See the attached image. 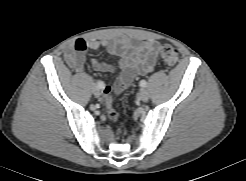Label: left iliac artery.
I'll return each mask as SVG.
<instances>
[{
	"label": "left iliac artery",
	"mask_w": 246,
	"mask_h": 181,
	"mask_svg": "<svg viewBox=\"0 0 246 181\" xmlns=\"http://www.w3.org/2000/svg\"><path fill=\"white\" fill-rule=\"evenodd\" d=\"M139 84H140L141 87H146L147 86V82L145 80H141Z\"/></svg>",
	"instance_id": "1"
}]
</instances>
